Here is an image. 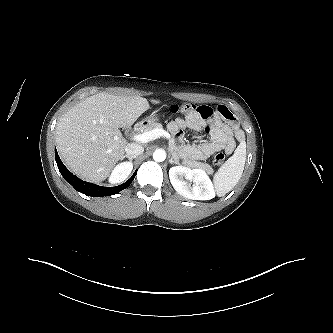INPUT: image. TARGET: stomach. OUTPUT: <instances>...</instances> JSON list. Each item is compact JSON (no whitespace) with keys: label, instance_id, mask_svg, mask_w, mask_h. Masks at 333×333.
Masks as SVG:
<instances>
[{"label":"stomach","instance_id":"obj_1","mask_svg":"<svg viewBox=\"0 0 333 333\" xmlns=\"http://www.w3.org/2000/svg\"><path fill=\"white\" fill-rule=\"evenodd\" d=\"M156 113L157 112H153L148 117H146L144 119V121L147 122V123H151V122H154L155 120H158V115Z\"/></svg>","mask_w":333,"mask_h":333}]
</instances>
